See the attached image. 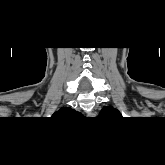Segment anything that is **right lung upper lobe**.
Instances as JSON below:
<instances>
[{
	"label": "right lung upper lobe",
	"instance_id": "cb5924a9",
	"mask_svg": "<svg viewBox=\"0 0 165 165\" xmlns=\"http://www.w3.org/2000/svg\"><path fill=\"white\" fill-rule=\"evenodd\" d=\"M75 113V110L67 107H62L60 108L57 112H55L52 117L57 118V117H68L70 115H73Z\"/></svg>",
	"mask_w": 165,
	"mask_h": 165
}]
</instances>
